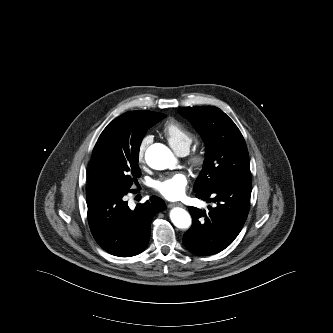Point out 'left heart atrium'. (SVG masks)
Returning a JSON list of instances; mask_svg holds the SVG:
<instances>
[{"instance_id": "1", "label": "left heart atrium", "mask_w": 333, "mask_h": 333, "mask_svg": "<svg viewBox=\"0 0 333 333\" xmlns=\"http://www.w3.org/2000/svg\"><path fill=\"white\" fill-rule=\"evenodd\" d=\"M188 184L183 173L160 178L153 183V188L167 199H178L185 193Z\"/></svg>"}]
</instances>
